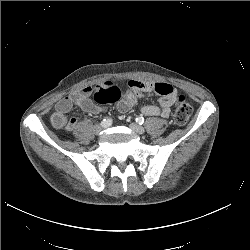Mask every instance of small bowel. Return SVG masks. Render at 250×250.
<instances>
[{"mask_svg":"<svg viewBox=\"0 0 250 250\" xmlns=\"http://www.w3.org/2000/svg\"><path fill=\"white\" fill-rule=\"evenodd\" d=\"M129 87L138 96L145 94L159 95V106L146 105L142 107L141 111L146 116H161L168 118L171 113V107L177 99V90L171 84L165 82H151L144 80H130ZM91 87H85L77 90L68 96L60 99L55 111L51 116V123L57 129H65L72 131L77 125V119L67 118L66 114L70 112L73 106L79 107L86 113L98 114L103 111L102 107L95 104L91 99Z\"/></svg>","mask_w":250,"mask_h":250,"instance_id":"obj_1","label":"small bowel"}]
</instances>
